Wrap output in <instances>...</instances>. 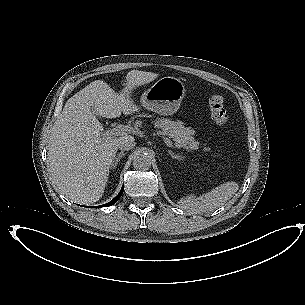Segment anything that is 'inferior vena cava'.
I'll return each instance as SVG.
<instances>
[{
	"mask_svg": "<svg viewBox=\"0 0 305 305\" xmlns=\"http://www.w3.org/2000/svg\"><path fill=\"white\" fill-rule=\"evenodd\" d=\"M135 139L132 136H123L118 141V148L122 151H128L135 147Z\"/></svg>",
	"mask_w": 305,
	"mask_h": 305,
	"instance_id": "inferior-vena-cava-1",
	"label": "inferior vena cava"
}]
</instances>
